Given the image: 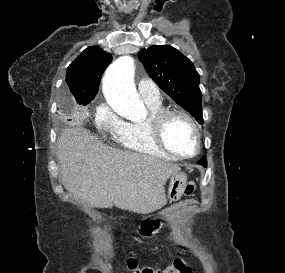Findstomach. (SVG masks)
I'll return each instance as SVG.
<instances>
[{"instance_id": "obj_1", "label": "stomach", "mask_w": 285, "mask_h": 273, "mask_svg": "<svg viewBox=\"0 0 285 273\" xmlns=\"http://www.w3.org/2000/svg\"><path fill=\"white\" fill-rule=\"evenodd\" d=\"M186 182L187 176L183 172H175L171 175L167 192V197L170 202H175L181 198ZM139 229L144 235H149L157 231L156 224L151 222H143Z\"/></svg>"}]
</instances>
